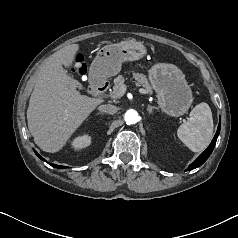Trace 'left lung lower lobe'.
Masks as SVG:
<instances>
[{
    "instance_id": "left-lung-lower-lobe-1",
    "label": "left lung lower lobe",
    "mask_w": 238,
    "mask_h": 238,
    "mask_svg": "<svg viewBox=\"0 0 238 238\" xmlns=\"http://www.w3.org/2000/svg\"><path fill=\"white\" fill-rule=\"evenodd\" d=\"M220 127H221V122H219L217 132H216L211 144L209 145V147L192 164L189 165L188 170H193V169L201 166L208 159V157L210 156V154L212 153V151L215 147V144H216L219 132H220Z\"/></svg>"
}]
</instances>
